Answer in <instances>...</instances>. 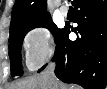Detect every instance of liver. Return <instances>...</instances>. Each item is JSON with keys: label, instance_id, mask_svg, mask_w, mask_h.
Returning <instances> with one entry per match:
<instances>
[{"label": "liver", "instance_id": "liver-1", "mask_svg": "<svg viewBox=\"0 0 107 89\" xmlns=\"http://www.w3.org/2000/svg\"><path fill=\"white\" fill-rule=\"evenodd\" d=\"M51 87H54V89H78L65 85L57 79L55 80V84H52L44 73L20 80L12 84L9 89H51Z\"/></svg>", "mask_w": 107, "mask_h": 89}]
</instances>
